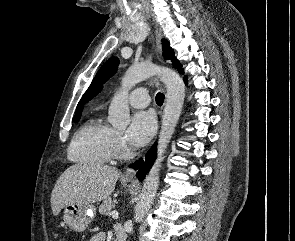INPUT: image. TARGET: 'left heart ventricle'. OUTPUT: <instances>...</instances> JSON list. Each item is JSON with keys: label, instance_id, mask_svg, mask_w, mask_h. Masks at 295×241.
<instances>
[{"label": "left heart ventricle", "instance_id": "obj_1", "mask_svg": "<svg viewBox=\"0 0 295 241\" xmlns=\"http://www.w3.org/2000/svg\"><path fill=\"white\" fill-rule=\"evenodd\" d=\"M117 133H118L119 135H121V134H122V131H117Z\"/></svg>", "mask_w": 295, "mask_h": 241}]
</instances>
